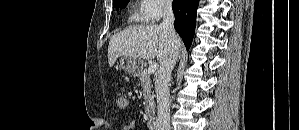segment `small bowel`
<instances>
[{"label": "small bowel", "instance_id": "c3829d8e", "mask_svg": "<svg viewBox=\"0 0 299 130\" xmlns=\"http://www.w3.org/2000/svg\"><path fill=\"white\" fill-rule=\"evenodd\" d=\"M135 128H136L135 121H130L121 130H133Z\"/></svg>", "mask_w": 299, "mask_h": 130}]
</instances>
